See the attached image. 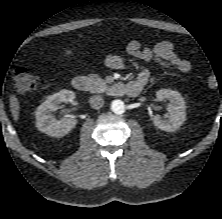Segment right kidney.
<instances>
[{"instance_id":"obj_1","label":"right kidney","mask_w":222,"mask_h":219,"mask_svg":"<svg viewBox=\"0 0 222 219\" xmlns=\"http://www.w3.org/2000/svg\"><path fill=\"white\" fill-rule=\"evenodd\" d=\"M74 99L75 93L70 90H61L48 96L36 109L37 129L52 137H61L68 134L76 126L77 120L66 117L56 120L51 112L56 111L62 102H73Z\"/></svg>"}]
</instances>
